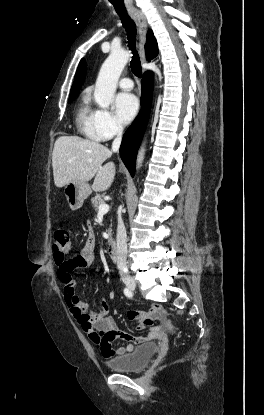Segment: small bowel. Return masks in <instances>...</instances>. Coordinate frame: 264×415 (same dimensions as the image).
Instances as JSON below:
<instances>
[{"instance_id": "small-bowel-1", "label": "small bowel", "mask_w": 264, "mask_h": 415, "mask_svg": "<svg viewBox=\"0 0 264 415\" xmlns=\"http://www.w3.org/2000/svg\"><path fill=\"white\" fill-rule=\"evenodd\" d=\"M95 263V236L91 228L89 237L85 245L82 247L80 253L70 260L65 265H58L57 275L64 286L63 297L69 307L70 314L74 320L80 324L82 330L88 335L91 341L100 347L101 353L105 357H121L129 354L134 350L135 345L144 344L159 335V326L150 330L148 336H134L127 332L120 331L112 317L107 313L110 310V305L106 300H101L102 313L97 314L93 311L90 304L82 302L75 293L76 283L72 277L74 269L89 268ZM73 289V297L69 296L68 290ZM150 315L155 319L161 320L165 317V313L158 306H153L149 310ZM142 315L134 312H127V321L133 323L137 321ZM137 330L145 329L143 325H138ZM115 338L126 340V346H120L116 349L111 348V341Z\"/></svg>"}]
</instances>
